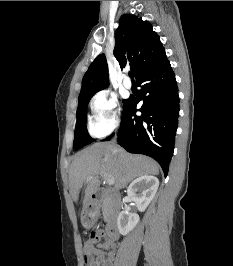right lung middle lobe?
<instances>
[{
    "instance_id": "obj_1",
    "label": "right lung middle lobe",
    "mask_w": 233,
    "mask_h": 266,
    "mask_svg": "<svg viewBox=\"0 0 233 266\" xmlns=\"http://www.w3.org/2000/svg\"><path fill=\"white\" fill-rule=\"evenodd\" d=\"M91 96L79 99L78 102V109H77V121L75 127V135H74V142L73 148L75 150L91 143L94 139H92L87 132L86 128V113H87V106L91 99ZM126 100H123L125 104Z\"/></svg>"
}]
</instances>
